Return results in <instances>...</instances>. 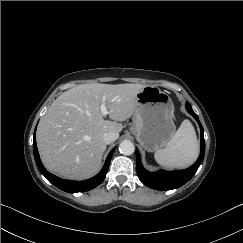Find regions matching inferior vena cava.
Returning a JSON list of instances; mask_svg holds the SVG:
<instances>
[{
	"label": "inferior vena cava",
	"instance_id": "obj_1",
	"mask_svg": "<svg viewBox=\"0 0 243 243\" xmlns=\"http://www.w3.org/2000/svg\"><path fill=\"white\" fill-rule=\"evenodd\" d=\"M117 139V136L114 132H106L103 134V141L106 144H110L114 142Z\"/></svg>",
	"mask_w": 243,
	"mask_h": 243
}]
</instances>
